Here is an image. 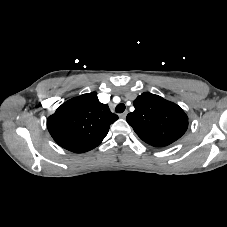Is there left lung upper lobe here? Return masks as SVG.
Wrapping results in <instances>:
<instances>
[{
	"label": "left lung upper lobe",
	"mask_w": 227,
	"mask_h": 227,
	"mask_svg": "<svg viewBox=\"0 0 227 227\" xmlns=\"http://www.w3.org/2000/svg\"><path fill=\"white\" fill-rule=\"evenodd\" d=\"M134 107L126 120L137 135L151 146H167L187 130L185 112L177 104L158 95L142 93L134 100Z\"/></svg>",
	"instance_id": "5c2ea615"
}]
</instances>
